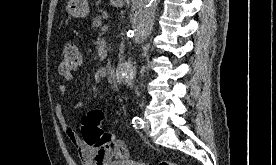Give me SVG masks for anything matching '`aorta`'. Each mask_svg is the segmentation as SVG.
<instances>
[{
  "instance_id": "762f6f07",
  "label": "aorta",
  "mask_w": 276,
  "mask_h": 165,
  "mask_svg": "<svg viewBox=\"0 0 276 165\" xmlns=\"http://www.w3.org/2000/svg\"><path fill=\"white\" fill-rule=\"evenodd\" d=\"M132 3L134 6L133 30L135 40L141 43L152 32L159 0H132ZM120 72L126 75L130 74L132 67L129 64H123Z\"/></svg>"
}]
</instances>
